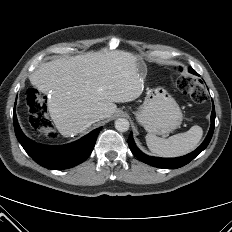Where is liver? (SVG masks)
Listing matches in <instances>:
<instances>
[{"label":"liver","mask_w":232,"mask_h":232,"mask_svg":"<svg viewBox=\"0 0 232 232\" xmlns=\"http://www.w3.org/2000/svg\"><path fill=\"white\" fill-rule=\"evenodd\" d=\"M121 50L90 51L41 64L30 76L39 91L49 93L48 110L57 130L65 137L83 132L90 116L111 117L117 106L137 99L143 92L145 66Z\"/></svg>","instance_id":"liver-1"}]
</instances>
